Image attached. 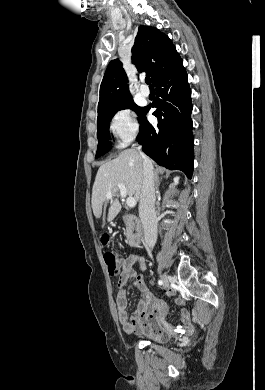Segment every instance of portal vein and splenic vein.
I'll return each mask as SVG.
<instances>
[{"label":"portal vein and splenic vein","instance_id":"portal-vein-and-splenic-vein-1","mask_svg":"<svg viewBox=\"0 0 265 390\" xmlns=\"http://www.w3.org/2000/svg\"><path fill=\"white\" fill-rule=\"evenodd\" d=\"M117 186H118V188H119V190H120V195H121V197H122V198H126L127 192H126V187H125V185H124V184H118ZM106 197H107L108 199L112 198V192H111V191L107 192ZM136 203H137V202H136V199H135L134 197H128V198L126 199V204H127V206L130 207V208L135 207V206H136Z\"/></svg>","mask_w":265,"mask_h":390}]
</instances>
